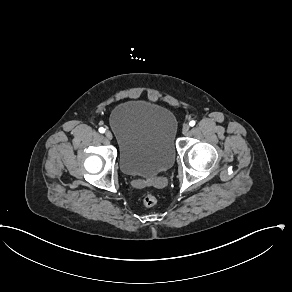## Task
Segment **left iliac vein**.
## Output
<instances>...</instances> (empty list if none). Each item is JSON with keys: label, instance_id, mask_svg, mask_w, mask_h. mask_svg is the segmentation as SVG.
<instances>
[{"label": "left iliac vein", "instance_id": "left-iliac-vein-1", "mask_svg": "<svg viewBox=\"0 0 292 292\" xmlns=\"http://www.w3.org/2000/svg\"><path fill=\"white\" fill-rule=\"evenodd\" d=\"M190 130V126L188 124H184L182 127V133L186 135Z\"/></svg>", "mask_w": 292, "mask_h": 292}]
</instances>
